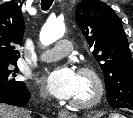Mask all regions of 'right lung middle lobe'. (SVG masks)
<instances>
[{
	"instance_id": "1",
	"label": "right lung middle lobe",
	"mask_w": 133,
	"mask_h": 118,
	"mask_svg": "<svg viewBox=\"0 0 133 118\" xmlns=\"http://www.w3.org/2000/svg\"><path fill=\"white\" fill-rule=\"evenodd\" d=\"M19 70L16 62H0V89H10L23 85L15 79Z\"/></svg>"
}]
</instances>
